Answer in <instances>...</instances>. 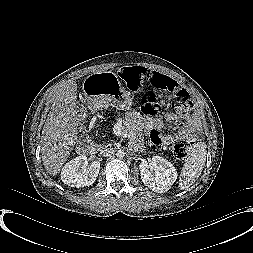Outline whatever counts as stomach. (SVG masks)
<instances>
[{"mask_svg": "<svg viewBox=\"0 0 253 253\" xmlns=\"http://www.w3.org/2000/svg\"><path fill=\"white\" fill-rule=\"evenodd\" d=\"M86 99L96 107L112 106L119 110H128L132 97L126 92L114 73L103 72L89 75L83 82Z\"/></svg>", "mask_w": 253, "mask_h": 253, "instance_id": "0dacf381", "label": "stomach"}]
</instances>
